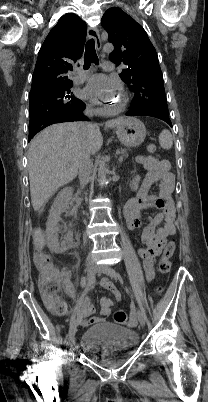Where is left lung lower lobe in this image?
I'll return each mask as SVG.
<instances>
[{"mask_svg":"<svg viewBox=\"0 0 208 402\" xmlns=\"http://www.w3.org/2000/svg\"><path fill=\"white\" fill-rule=\"evenodd\" d=\"M126 115L127 116H152V117L161 119V120L165 121L166 123H168L170 126H172L169 117H165L159 113L152 112V111L130 109Z\"/></svg>","mask_w":208,"mask_h":402,"instance_id":"0a47b994","label":"left lung lower lobe"}]
</instances>
